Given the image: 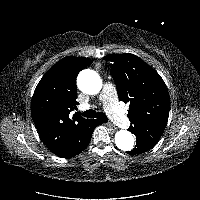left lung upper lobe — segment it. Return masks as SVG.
<instances>
[{"label":"left lung upper lobe","mask_w":200,"mask_h":200,"mask_svg":"<svg viewBox=\"0 0 200 200\" xmlns=\"http://www.w3.org/2000/svg\"><path fill=\"white\" fill-rule=\"evenodd\" d=\"M111 74L121 101L130 103L129 130L140 139L157 143L166 127L170 97L160 75L143 60L130 53L109 54Z\"/></svg>","instance_id":"obj_1"}]
</instances>
